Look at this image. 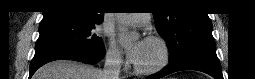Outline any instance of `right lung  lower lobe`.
Masks as SVG:
<instances>
[{"label": "right lung lower lobe", "instance_id": "right-lung-lower-lobe-1", "mask_svg": "<svg viewBox=\"0 0 255 79\" xmlns=\"http://www.w3.org/2000/svg\"><path fill=\"white\" fill-rule=\"evenodd\" d=\"M105 49L98 51L91 50H79L63 47L45 48L35 51L34 58L30 64L29 78L35 73V71L42 65L54 61V60H75L87 64H94L102 59Z\"/></svg>", "mask_w": 255, "mask_h": 79}]
</instances>
